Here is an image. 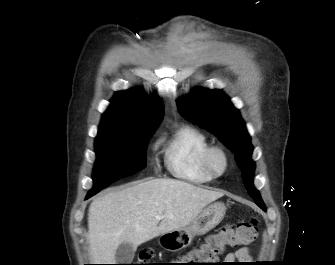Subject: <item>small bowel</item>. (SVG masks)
<instances>
[{
  "label": "small bowel",
  "instance_id": "obj_1",
  "mask_svg": "<svg viewBox=\"0 0 335 265\" xmlns=\"http://www.w3.org/2000/svg\"><path fill=\"white\" fill-rule=\"evenodd\" d=\"M225 263L232 264L235 261L247 262L251 260V253L247 247L239 248L234 252H230L225 256Z\"/></svg>",
  "mask_w": 335,
  "mask_h": 265
}]
</instances>
